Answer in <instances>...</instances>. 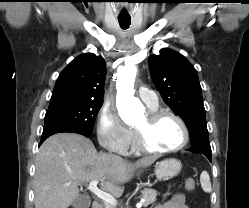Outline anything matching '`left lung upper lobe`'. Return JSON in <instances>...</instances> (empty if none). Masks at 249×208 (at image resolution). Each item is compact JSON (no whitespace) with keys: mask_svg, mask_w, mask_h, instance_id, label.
I'll list each match as a JSON object with an SVG mask.
<instances>
[{"mask_svg":"<svg viewBox=\"0 0 249 208\" xmlns=\"http://www.w3.org/2000/svg\"><path fill=\"white\" fill-rule=\"evenodd\" d=\"M152 81L164 102L185 122L191 146L210 148L202 89L194 67L180 53L163 48L149 56Z\"/></svg>","mask_w":249,"mask_h":208,"instance_id":"5c2ea615","label":"left lung upper lobe"}]
</instances>
